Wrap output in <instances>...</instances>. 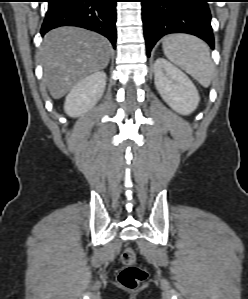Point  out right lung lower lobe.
Returning a JSON list of instances; mask_svg holds the SVG:
<instances>
[{"label": "right lung lower lobe", "instance_id": "98d812e1", "mask_svg": "<svg viewBox=\"0 0 248 299\" xmlns=\"http://www.w3.org/2000/svg\"><path fill=\"white\" fill-rule=\"evenodd\" d=\"M116 0H49L41 35L60 26H77L98 32L116 44Z\"/></svg>", "mask_w": 248, "mask_h": 299}]
</instances>
